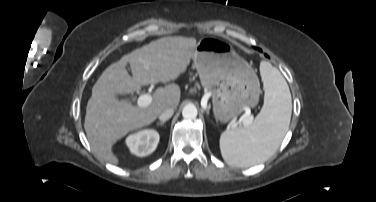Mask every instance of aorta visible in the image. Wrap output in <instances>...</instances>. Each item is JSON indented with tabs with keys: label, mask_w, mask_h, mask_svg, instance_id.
Here are the masks:
<instances>
[{
	"label": "aorta",
	"mask_w": 376,
	"mask_h": 202,
	"mask_svg": "<svg viewBox=\"0 0 376 202\" xmlns=\"http://www.w3.org/2000/svg\"><path fill=\"white\" fill-rule=\"evenodd\" d=\"M197 108L194 104H187L182 110V116L184 119L192 120L197 117Z\"/></svg>",
	"instance_id": "aorta-1"
}]
</instances>
